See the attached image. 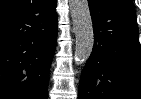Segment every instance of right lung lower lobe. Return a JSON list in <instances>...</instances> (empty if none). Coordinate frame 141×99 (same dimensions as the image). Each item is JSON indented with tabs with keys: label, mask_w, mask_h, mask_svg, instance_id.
I'll list each match as a JSON object with an SVG mask.
<instances>
[{
	"label": "right lung lower lobe",
	"mask_w": 141,
	"mask_h": 99,
	"mask_svg": "<svg viewBox=\"0 0 141 99\" xmlns=\"http://www.w3.org/2000/svg\"><path fill=\"white\" fill-rule=\"evenodd\" d=\"M56 39V0H26L0 13V99H47Z\"/></svg>",
	"instance_id": "1"
}]
</instances>
